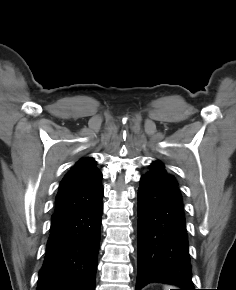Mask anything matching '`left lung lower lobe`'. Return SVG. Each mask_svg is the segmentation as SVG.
Segmentation results:
<instances>
[{
	"instance_id": "0a47b994",
	"label": "left lung lower lobe",
	"mask_w": 236,
	"mask_h": 290,
	"mask_svg": "<svg viewBox=\"0 0 236 290\" xmlns=\"http://www.w3.org/2000/svg\"><path fill=\"white\" fill-rule=\"evenodd\" d=\"M138 272L136 290L150 282L195 290L178 184L143 175L138 190Z\"/></svg>"
}]
</instances>
